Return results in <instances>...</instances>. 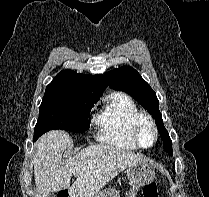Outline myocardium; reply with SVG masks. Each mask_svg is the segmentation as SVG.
<instances>
[{
  "label": "myocardium",
  "mask_w": 209,
  "mask_h": 197,
  "mask_svg": "<svg viewBox=\"0 0 209 197\" xmlns=\"http://www.w3.org/2000/svg\"><path fill=\"white\" fill-rule=\"evenodd\" d=\"M142 121L148 122L154 132L153 142L151 145H148V146H145L141 143L140 136H139V127ZM131 135H132L134 142L136 143L138 147L143 148V149H148V148L153 147L156 144L157 139H158V129L151 115L144 113V112H138L132 119Z\"/></svg>",
  "instance_id": "f54148a6"
}]
</instances>
